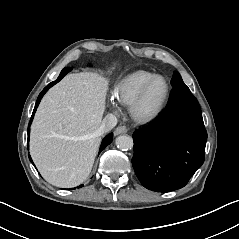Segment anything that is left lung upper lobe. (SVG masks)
I'll list each match as a JSON object with an SVG mask.
<instances>
[{"label":"left lung upper lobe","mask_w":239,"mask_h":239,"mask_svg":"<svg viewBox=\"0 0 239 239\" xmlns=\"http://www.w3.org/2000/svg\"><path fill=\"white\" fill-rule=\"evenodd\" d=\"M171 84H172L173 87H176V86H179V85H185L178 72L174 73L173 79L171 80Z\"/></svg>","instance_id":"left-lung-upper-lobe-1"}]
</instances>
